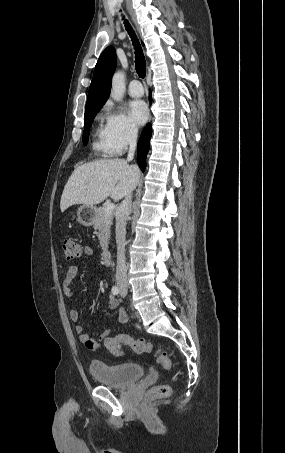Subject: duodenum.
<instances>
[{"label": "duodenum", "instance_id": "obj_1", "mask_svg": "<svg viewBox=\"0 0 285 453\" xmlns=\"http://www.w3.org/2000/svg\"><path fill=\"white\" fill-rule=\"evenodd\" d=\"M102 258L105 264H111L112 262V253L109 250H105L102 253Z\"/></svg>", "mask_w": 285, "mask_h": 453}]
</instances>
